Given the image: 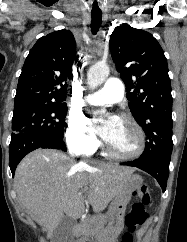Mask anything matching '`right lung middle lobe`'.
<instances>
[{
  "mask_svg": "<svg viewBox=\"0 0 187 242\" xmlns=\"http://www.w3.org/2000/svg\"><path fill=\"white\" fill-rule=\"evenodd\" d=\"M65 104H25L14 107L13 133L43 134L63 138Z\"/></svg>",
  "mask_w": 187,
  "mask_h": 242,
  "instance_id": "dd1d6c3e",
  "label": "right lung middle lobe"
}]
</instances>
